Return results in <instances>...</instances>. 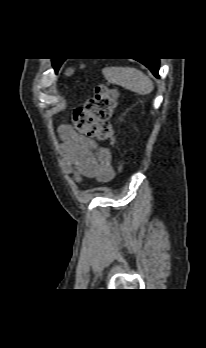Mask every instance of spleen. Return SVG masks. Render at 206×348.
Segmentation results:
<instances>
[{
    "instance_id": "spleen-1",
    "label": "spleen",
    "mask_w": 206,
    "mask_h": 348,
    "mask_svg": "<svg viewBox=\"0 0 206 348\" xmlns=\"http://www.w3.org/2000/svg\"><path fill=\"white\" fill-rule=\"evenodd\" d=\"M108 82L119 85L139 95H148L154 85L142 71L133 67H110L103 70Z\"/></svg>"
}]
</instances>
